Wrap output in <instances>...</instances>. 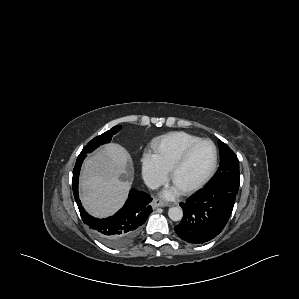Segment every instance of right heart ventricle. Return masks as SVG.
<instances>
[{
    "label": "right heart ventricle",
    "mask_w": 299,
    "mask_h": 299,
    "mask_svg": "<svg viewBox=\"0 0 299 299\" xmlns=\"http://www.w3.org/2000/svg\"><path fill=\"white\" fill-rule=\"evenodd\" d=\"M200 138L185 132H171L155 138L151 147L159 163L170 171L182 153Z\"/></svg>",
    "instance_id": "right-heart-ventricle-1"
}]
</instances>
